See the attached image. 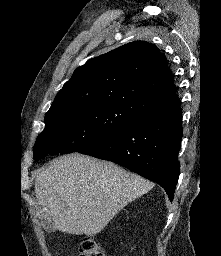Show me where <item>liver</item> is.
<instances>
[{
    "instance_id": "1",
    "label": "liver",
    "mask_w": 221,
    "mask_h": 256,
    "mask_svg": "<svg viewBox=\"0 0 221 256\" xmlns=\"http://www.w3.org/2000/svg\"><path fill=\"white\" fill-rule=\"evenodd\" d=\"M153 184L114 163L78 153L54 159L37 172L40 215L64 233L94 236Z\"/></svg>"
}]
</instances>
